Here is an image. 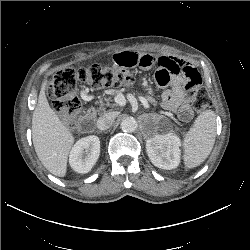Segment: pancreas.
<instances>
[{"instance_id": "1", "label": "pancreas", "mask_w": 250, "mask_h": 250, "mask_svg": "<svg viewBox=\"0 0 250 250\" xmlns=\"http://www.w3.org/2000/svg\"><path fill=\"white\" fill-rule=\"evenodd\" d=\"M106 101V103H104L103 99H100L98 101V104H99V109L97 110V112H103L106 110L107 107H113L114 104H111V98H105L104 99Z\"/></svg>"}]
</instances>
